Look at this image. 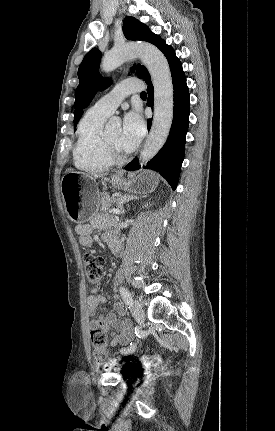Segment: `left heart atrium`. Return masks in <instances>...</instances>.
Instances as JSON below:
<instances>
[{
    "mask_svg": "<svg viewBox=\"0 0 275 431\" xmlns=\"http://www.w3.org/2000/svg\"><path fill=\"white\" fill-rule=\"evenodd\" d=\"M145 127L139 112L126 113L119 136V146L125 152L133 151L144 135Z\"/></svg>",
    "mask_w": 275,
    "mask_h": 431,
    "instance_id": "left-heart-atrium-1",
    "label": "left heart atrium"
}]
</instances>
